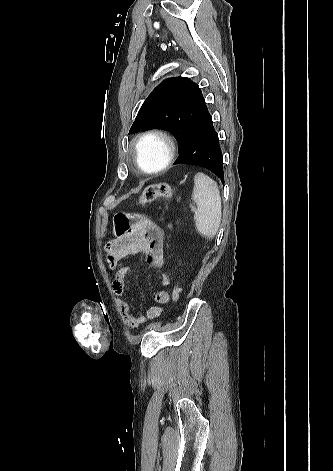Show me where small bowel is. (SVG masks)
<instances>
[{"instance_id": "small-bowel-1", "label": "small bowel", "mask_w": 333, "mask_h": 471, "mask_svg": "<svg viewBox=\"0 0 333 471\" xmlns=\"http://www.w3.org/2000/svg\"><path fill=\"white\" fill-rule=\"evenodd\" d=\"M113 223L115 238L105 245L107 264L110 269H117L112 283L113 300L125 325L133 329L160 317L164 312L162 305L169 302L170 295L166 290L156 292L154 301L157 305L150 307L145 314L135 315L125 298V278L135 268L122 265V262L141 253L148 266L161 269L165 262L164 231L155 221L142 215L117 213L113 217ZM162 283L164 286L170 283L166 273L162 274Z\"/></svg>"}]
</instances>
